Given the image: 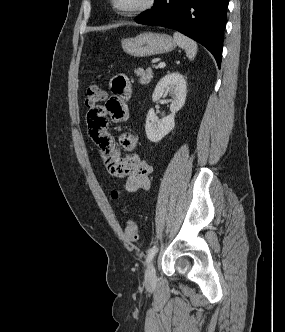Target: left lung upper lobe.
Instances as JSON below:
<instances>
[{
    "label": "left lung upper lobe",
    "instance_id": "1",
    "mask_svg": "<svg viewBox=\"0 0 285 332\" xmlns=\"http://www.w3.org/2000/svg\"><path fill=\"white\" fill-rule=\"evenodd\" d=\"M160 1H161V0H155V3H154V5H155V6H154V9L157 7V5L160 3ZM152 10H153V9H152ZM152 10H151V11H152ZM147 13H149V12H146V14H147ZM143 15H145V14H142L141 16H143Z\"/></svg>",
    "mask_w": 285,
    "mask_h": 332
}]
</instances>
